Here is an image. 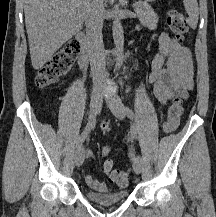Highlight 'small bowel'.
Returning <instances> with one entry per match:
<instances>
[{"mask_svg": "<svg viewBox=\"0 0 216 217\" xmlns=\"http://www.w3.org/2000/svg\"><path fill=\"white\" fill-rule=\"evenodd\" d=\"M148 82L153 85V92L157 100L165 106L170 100L179 97L187 99L194 88V66L190 50L179 44L168 33L159 37V52L153 58ZM89 158L94 154L91 150L85 151ZM110 153V147L104 146L101 156L106 158ZM104 171L109 175L105 168ZM86 183L99 191H107L108 184L99 181L91 174L85 175Z\"/></svg>", "mask_w": 216, "mask_h": 217, "instance_id": "obj_1", "label": "small bowel"}]
</instances>
